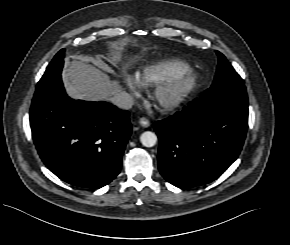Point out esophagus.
Wrapping results in <instances>:
<instances>
[{"label": "esophagus", "mask_w": 290, "mask_h": 245, "mask_svg": "<svg viewBox=\"0 0 290 245\" xmlns=\"http://www.w3.org/2000/svg\"><path fill=\"white\" fill-rule=\"evenodd\" d=\"M139 123H140L141 126H143L145 128L150 126L149 120L147 118H145V117L140 118L139 119Z\"/></svg>", "instance_id": "obj_1"}]
</instances>
